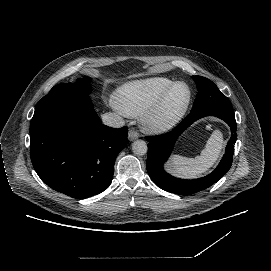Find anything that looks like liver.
<instances>
[{
    "label": "liver",
    "mask_w": 271,
    "mask_h": 271,
    "mask_svg": "<svg viewBox=\"0 0 271 271\" xmlns=\"http://www.w3.org/2000/svg\"><path fill=\"white\" fill-rule=\"evenodd\" d=\"M112 80L111 79H107L106 81H105V83H109V82H111Z\"/></svg>",
    "instance_id": "liver-1"
}]
</instances>
